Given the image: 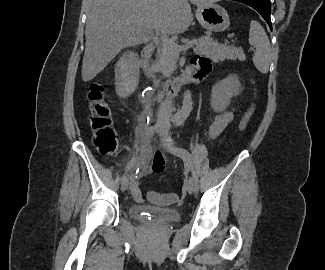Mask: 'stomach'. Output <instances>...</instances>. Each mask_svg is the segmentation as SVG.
<instances>
[{
    "instance_id": "0dacf381",
    "label": "stomach",
    "mask_w": 325,
    "mask_h": 270,
    "mask_svg": "<svg viewBox=\"0 0 325 270\" xmlns=\"http://www.w3.org/2000/svg\"><path fill=\"white\" fill-rule=\"evenodd\" d=\"M196 18L202 27L210 31H224L230 25L226 10L213 3L200 4L196 11Z\"/></svg>"
}]
</instances>
